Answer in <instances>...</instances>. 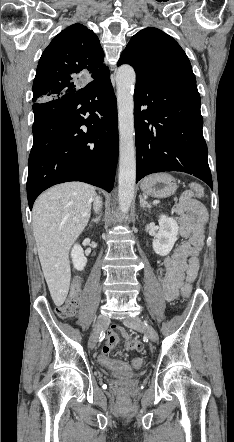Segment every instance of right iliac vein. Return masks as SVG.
I'll list each match as a JSON object with an SVG mask.
<instances>
[{"label": "right iliac vein", "mask_w": 234, "mask_h": 442, "mask_svg": "<svg viewBox=\"0 0 234 442\" xmlns=\"http://www.w3.org/2000/svg\"><path fill=\"white\" fill-rule=\"evenodd\" d=\"M108 322H109V319L106 315L101 314L98 316L97 322L95 324V327L92 331V334H91V337L89 340V347L91 349L95 348L97 341H98L99 334L103 329L106 328V326L108 325Z\"/></svg>", "instance_id": "right-iliac-vein-1"}]
</instances>
